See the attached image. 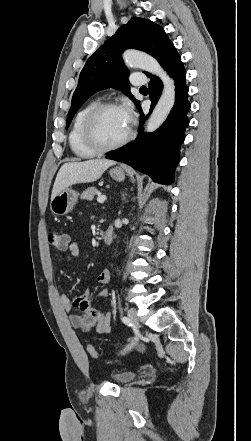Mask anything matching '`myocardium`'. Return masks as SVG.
Wrapping results in <instances>:
<instances>
[{
	"label": "myocardium",
	"mask_w": 251,
	"mask_h": 441,
	"mask_svg": "<svg viewBox=\"0 0 251 441\" xmlns=\"http://www.w3.org/2000/svg\"><path fill=\"white\" fill-rule=\"evenodd\" d=\"M110 109H123V108L119 104L114 102L98 103L87 113L83 122L82 136L84 143L96 153H106L109 151L119 149L124 145H126L134 136V129L132 123L130 122V127L127 135L124 138H122L120 141L111 145H103L98 141L94 130L95 122L103 112Z\"/></svg>",
	"instance_id": "f54148a6"
}]
</instances>
